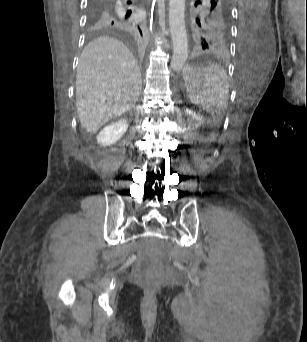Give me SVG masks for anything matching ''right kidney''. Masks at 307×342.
I'll return each instance as SVG.
<instances>
[{
    "label": "right kidney",
    "mask_w": 307,
    "mask_h": 342,
    "mask_svg": "<svg viewBox=\"0 0 307 342\" xmlns=\"http://www.w3.org/2000/svg\"><path fill=\"white\" fill-rule=\"evenodd\" d=\"M128 128L126 120H116L112 122L109 126H105L101 132H99L96 140L101 146H110V144H115L123 134H125Z\"/></svg>",
    "instance_id": "1"
}]
</instances>
